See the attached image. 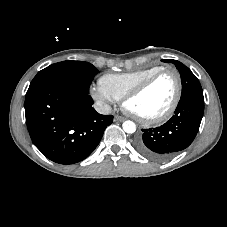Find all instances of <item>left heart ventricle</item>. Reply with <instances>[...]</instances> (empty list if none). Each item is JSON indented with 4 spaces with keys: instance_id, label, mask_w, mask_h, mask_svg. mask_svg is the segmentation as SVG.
I'll return each mask as SVG.
<instances>
[{
    "instance_id": "b2bd125f",
    "label": "left heart ventricle",
    "mask_w": 227,
    "mask_h": 227,
    "mask_svg": "<svg viewBox=\"0 0 227 227\" xmlns=\"http://www.w3.org/2000/svg\"><path fill=\"white\" fill-rule=\"evenodd\" d=\"M176 92V81L172 73H165L155 79L140 95L127 103L137 115L151 118L163 113L172 102Z\"/></svg>"
}]
</instances>
